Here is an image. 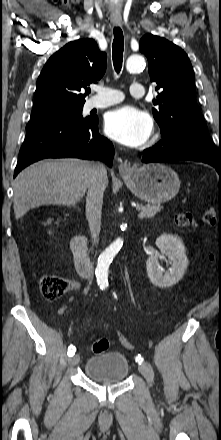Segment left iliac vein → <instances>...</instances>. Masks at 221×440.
Here are the masks:
<instances>
[{"instance_id":"left-iliac-vein-1","label":"left iliac vein","mask_w":221,"mask_h":440,"mask_svg":"<svg viewBox=\"0 0 221 440\" xmlns=\"http://www.w3.org/2000/svg\"><path fill=\"white\" fill-rule=\"evenodd\" d=\"M138 369L140 373L144 376L146 381L148 382L149 386H151L154 381V373L151 367L148 366L147 364L142 363L139 364Z\"/></svg>"}]
</instances>
